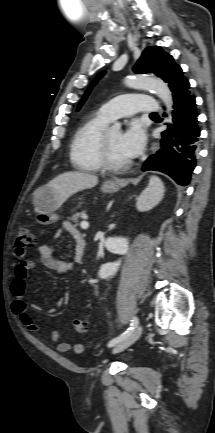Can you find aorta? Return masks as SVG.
I'll return each instance as SVG.
<instances>
[{"mask_svg": "<svg viewBox=\"0 0 215 433\" xmlns=\"http://www.w3.org/2000/svg\"><path fill=\"white\" fill-rule=\"evenodd\" d=\"M125 83L127 86L132 88L154 91L156 95L163 101L167 110L169 111L172 109V94L168 85L163 80L156 77H151L149 75H135L133 77H129ZM120 127L121 125L119 123H115L112 126L114 130H119Z\"/></svg>", "mask_w": 215, "mask_h": 433, "instance_id": "obj_1", "label": "aorta"}]
</instances>
